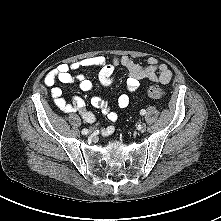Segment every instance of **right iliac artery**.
<instances>
[{"instance_id": "82829eb1", "label": "right iliac artery", "mask_w": 221, "mask_h": 221, "mask_svg": "<svg viewBox=\"0 0 221 221\" xmlns=\"http://www.w3.org/2000/svg\"><path fill=\"white\" fill-rule=\"evenodd\" d=\"M88 133V130L87 129H83L82 130V134L86 135Z\"/></svg>"}]
</instances>
